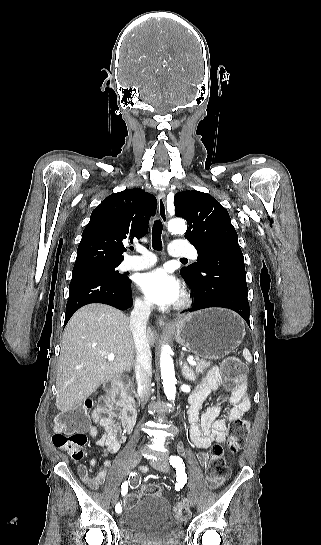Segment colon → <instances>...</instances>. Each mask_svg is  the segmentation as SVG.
<instances>
[{
	"label": "colon",
	"mask_w": 321,
	"mask_h": 545,
	"mask_svg": "<svg viewBox=\"0 0 321 545\" xmlns=\"http://www.w3.org/2000/svg\"><path fill=\"white\" fill-rule=\"evenodd\" d=\"M222 372L226 378L228 389L246 390V367L236 357L224 359L221 365ZM91 403L83 407L73 408L59 413L54 420V434L52 442L55 447L68 452L75 460H81L84 453V446L87 442L85 434L88 428L87 411ZM250 422L243 419L232 420L227 432V447L236 453L241 450L246 442ZM80 477L91 487L96 488L99 483L89 475L85 466L78 468ZM229 467L223 456V447L219 444L214 445L209 453V463L206 468V481L210 488H218L228 477ZM142 494L155 495L160 494L161 489L155 484H148L142 488ZM139 497L136 494L129 493L121 501L124 509L133 506ZM174 516L185 521L189 517V510L186 503H178L173 508Z\"/></svg>",
	"instance_id": "5ec220e1"
}]
</instances>
